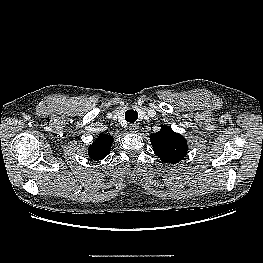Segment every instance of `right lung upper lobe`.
I'll return each mask as SVG.
<instances>
[{
  "label": "right lung upper lobe",
  "instance_id": "obj_1",
  "mask_svg": "<svg viewBox=\"0 0 263 263\" xmlns=\"http://www.w3.org/2000/svg\"><path fill=\"white\" fill-rule=\"evenodd\" d=\"M113 142V137L101 134L89 147V156L94 161H99L109 154Z\"/></svg>",
  "mask_w": 263,
  "mask_h": 263
}]
</instances>
